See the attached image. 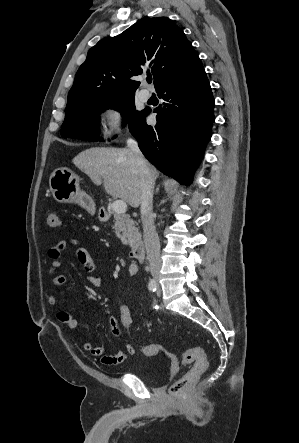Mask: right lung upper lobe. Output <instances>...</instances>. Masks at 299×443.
Returning <instances> with one entry per match:
<instances>
[{
	"instance_id": "right-lung-upper-lobe-1",
	"label": "right lung upper lobe",
	"mask_w": 299,
	"mask_h": 443,
	"mask_svg": "<svg viewBox=\"0 0 299 443\" xmlns=\"http://www.w3.org/2000/svg\"><path fill=\"white\" fill-rule=\"evenodd\" d=\"M202 63L183 30L167 17L143 19L115 37L100 40L80 66L67 107L83 102L134 94L144 71L154 75L157 89L191 74Z\"/></svg>"
}]
</instances>
